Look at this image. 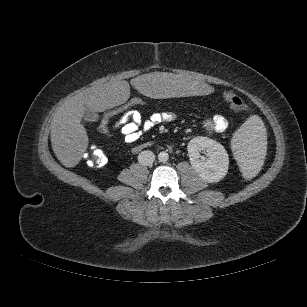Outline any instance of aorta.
I'll use <instances>...</instances> for the list:
<instances>
[{
  "mask_svg": "<svg viewBox=\"0 0 307 307\" xmlns=\"http://www.w3.org/2000/svg\"><path fill=\"white\" fill-rule=\"evenodd\" d=\"M169 159V154L166 151H162L158 154V160L160 162H166Z\"/></svg>",
  "mask_w": 307,
  "mask_h": 307,
  "instance_id": "762f6f07",
  "label": "aorta"
}]
</instances>
